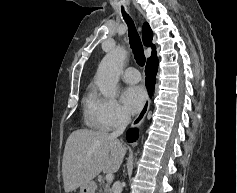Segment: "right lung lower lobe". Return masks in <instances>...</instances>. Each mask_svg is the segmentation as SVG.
<instances>
[{
  "label": "right lung lower lobe",
  "mask_w": 237,
  "mask_h": 193,
  "mask_svg": "<svg viewBox=\"0 0 237 193\" xmlns=\"http://www.w3.org/2000/svg\"><path fill=\"white\" fill-rule=\"evenodd\" d=\"M157 69H158L157 57L147 61L146 69H145V73H146L145 82H146V86L148 88L150 95H152V92L154 90ZM137 138H138L137 129H132L127 132L128 142H134L135 140H137Z\"/></svg>",
  "instance_id": "1"
}]
</instances>
